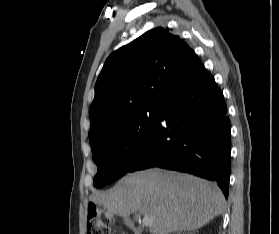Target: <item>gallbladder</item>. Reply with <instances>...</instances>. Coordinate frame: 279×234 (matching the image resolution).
<instances>
[{
	"mask_svg": "<svg viewBox=\"0 0 279 234\" xmlns=\"http://www.w3.org/2000/svg\"><path fill=\"white\" fill-rule=\"evenodd\" d=\"M125 223L129 226L130 229L136 231V228L133 225V222L130 218L126 217L125 218Z\"/></svg>",
	"mask_w": 279,
	"mask_h": 234,
	"instance_id": "1",
	"label": "gallbladder"
}]
</instances>
